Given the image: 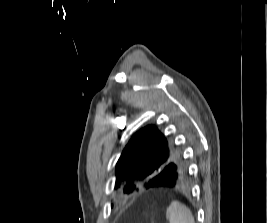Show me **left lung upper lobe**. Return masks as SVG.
<instances>
[{"instance_id": "left-lung-upper-lobe-1", "label": "left lung upper lobe", "mask_w": 267, "mask_h": 223, "mask_svg": "<svg viewBox=\"0 0 267 223\" xmlns=\"http://www.w3.org/2000/svg\"><path fill=\"white\" fill-rule=\"evenodd\" d=\"M187 171L182 154L173 140L155 125L135 133L123 150L116 165L115 189L124 193L138 191V183L153 180V173ZM112 206V205H111Z\"/></svg>"}]
</instances>
